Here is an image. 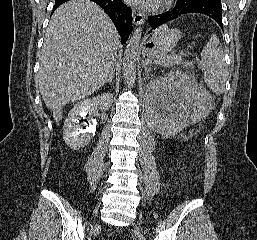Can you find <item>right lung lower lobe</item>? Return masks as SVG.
<instances>
[{"label":"right lung lower lobe","instance_id":"98d812e1","mask_svg":"<svg viewBox=\"0 0 257 240\" xmlns=\"http://www.w3.org/2000/svg\"><path fill=\"white\" fill-rule=\"evenodd\" d=\"M108 14L125 44L132 31V10L121 0H91ZM61 5V4H60ZM60 5H55L53 11Z\"/></svg>","mask_w":257,"mask_h":240}]
</instances>
